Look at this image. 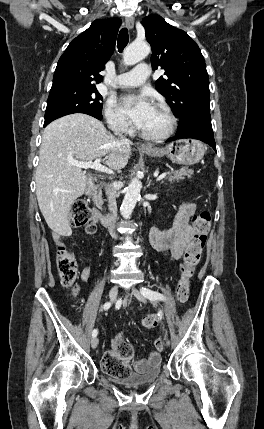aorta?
Masks as SVG:
<instances>
[{
	"mask_svg": "<svg viewBox=\"0 0 264 429\" xmlns=\"http://www.w3.org/2000/svg\"><path fill=\"white\" fill-rule=\"evenodd\" d=\"M150 50V46L146 42L134 41L125 49L123 62L125 65H134L147 57ZM141 188L142 183L138 178H133L129 183L120 207V212L123 218H130L140 196Z\"/></svg>",
	"mask_w": 264,
	"mask_h": 429,
	"instance_id": "aorta-1",
	"label": "aorta"
}]
</instances>
